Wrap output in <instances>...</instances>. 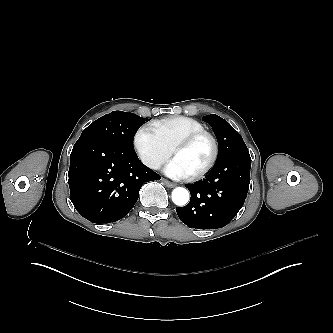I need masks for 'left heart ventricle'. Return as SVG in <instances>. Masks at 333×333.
Wrapping results in <instances>:
<instances>
[{
	"mask_svg": "<svg viewBox=\"0 0 333 333\" xmlns=\"http://www.w3.org/2000/svg\"><path fill=\"white\" fill-rule=\"evenodd\" d=\"M211 154V142L208 138H202L193 145L176 151L172 158L176 159L190 176L207 163Z\"/></svg>",
	"mask_w": 333,
	"mask_h": 333,
	"instance_id": "b2bd125f",
	"label": "left heart ventricle"
}]
</instances>
